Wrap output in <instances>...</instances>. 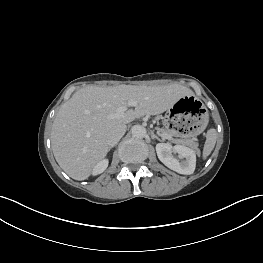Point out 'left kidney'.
<instances>
[{"label": "left kidney", "instance_id": "5707ae66", "mask_svg": "<svg viewBox=\"0 0 263 263\" xmlns=\"http://www.w3.org/2000/svg\"><path fill=\"white\" fill-rule=\"evenodd\" d=\"M156 152L159 160L171 170L179 174H193L196 167V154L189 147L158 143L156 145ZM172 153H177L180 158H183V161L180 162Z\"/></svg>", "mask_w": 263, "mask_h": 263}]
</instances>
